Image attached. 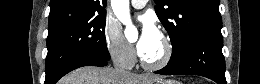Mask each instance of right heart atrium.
<instances>
[{
	"instance_id": "right-heart-atrium-1",
	"label": "right heart atrium",
	"mask_w": 260,
	"mask_h": 84,
	"mask_svg": "<svg viewBox=\"0 0 260 84\" xmlns=\"http://www.w3.org/2000/svg\"><path fill=\"white\" fill-rule=\"evenodd\" d=\"M104 44L111 59L122 67L134 64L136 54L133 47L124 38L120 27L113 21L107 20L103 29Z\"/></svg>"
}]
</instances>
